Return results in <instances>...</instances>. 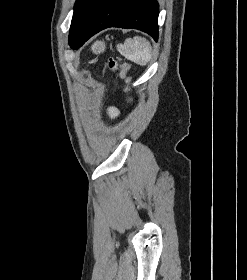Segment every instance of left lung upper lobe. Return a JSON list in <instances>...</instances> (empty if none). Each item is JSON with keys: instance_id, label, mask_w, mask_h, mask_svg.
<instances>
[{"instance_id": "1", "label": "left lung upper lobe", "mask_w": 247, "mask_h": 280, "mask_svg": "<svg viewBox=\"0 0 247 280\" xmlns=\"http://www.w3.org/2000/svg\"><path fill=\"white\" fill-rule=\"evenodd\" d=\"M100 1L101 0H76L69 36H74L78 33L91 10Z\"/></svg>"}]
</instances>
